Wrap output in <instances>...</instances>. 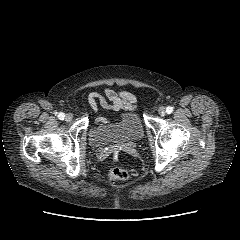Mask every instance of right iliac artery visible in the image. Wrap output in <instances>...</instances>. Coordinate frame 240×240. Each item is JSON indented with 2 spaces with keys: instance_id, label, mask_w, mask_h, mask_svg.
Returning <instances> with one entry per match:
<instances>
[{
  "instance_id": "1",
  "label": "right iliac artery",
  "mask_w": 240,
  "mask_h": 240,
  "mask_svg": "<svg viewBox=\"0 0 240 240\" xmlns=\"http://www.w3.org/2000/svg\"><path fill=\"white\" fill-rule=\"evenodd\" d=\"M64 117H65L64 113L60 112V113L58 114V118H59L60 120H64Z\"/></svg>"
}]
</instances>
